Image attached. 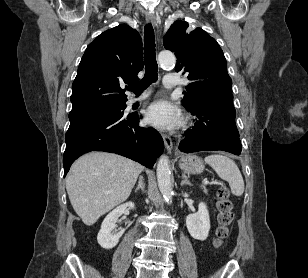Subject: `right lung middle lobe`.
<instances>
[{
  "instance_id": "dd1d6c3e",
  "label": "right lung middle lobe",
  "mask_w": 308,
  "mask_h": 278,
  "mask_svg": "<svg viewBox=\"0 0 308 278\" xmlns=\"http://www.w3.org/2000/svg\"><path fill=\"white\" fill-rule=\"evenodd\" d=\"M125 104H118V105H113V106H109V107H105L102 109H98L86 114H97V115H103V116H107V117H114L116 115H120L123 114V108L125 107ZM84 114V115H86ZM82 116V115H81ZM78 117V116H76ZM70 119L75 118V117H69Z\"/></svg>"
}]
</instances>
